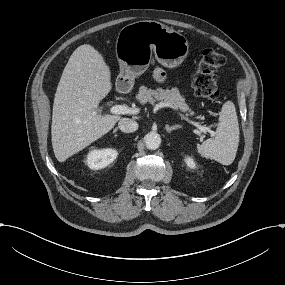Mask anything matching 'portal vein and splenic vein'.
Wrapping results in <instances>:
<instances>
[{
  "instance_id": "portal-vein-and-splenic-vein-1",
  "label": "portal vein and splenic vein",
  "mask_w": 285,
  "mask_h": 285,
  "mask_svg": "<svg viewBox=\"0 0 285 285\" xmlns=\"http://www.w3.org/2000/svg\"><path fill=\"white\" fill-rule=\"evenodd\" d=\"M139 111H140L139 108H130V107L125 106V105H115V106L111 107V109H110L111 113L118 114V115H120V114H122V115L138 114ZM191 123H192V125L196 126L203 133L209 132L212 137L216 135V132H214L213 130H211L208 127H204L202 125H199V123L193 122V121H191Z\"/></svg>"
}]
</instances>
